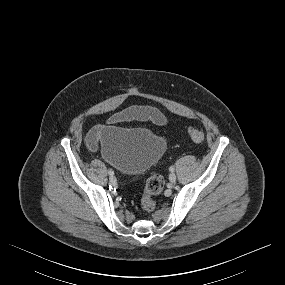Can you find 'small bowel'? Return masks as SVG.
Masks as SVG:
<instances>
[{
  "instance_id": "obj_1",
  "label": "small bowel",
  "mask_w": 285,
  "mask_h": 285,
  "mask_svg": "<svg viewBox=\"0 0 285 285\" xmlns=\"http://www.w3.org/2000/svg\"><path fill=\"white\" fill-rule=\"evenodd\" d=\"M128 120L150 121L156 125L167 124L166 116L157 108L151 106H133L120 111L109 119V123H117ZM102 126L94 127L86 137V146L90 150H96L102 134Z\"/></svg>"
}]
</instances>
